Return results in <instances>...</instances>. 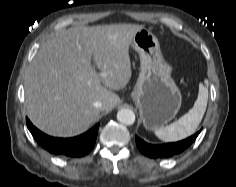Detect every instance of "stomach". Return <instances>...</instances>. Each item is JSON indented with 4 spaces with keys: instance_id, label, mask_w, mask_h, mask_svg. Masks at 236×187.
<instances>
[{
    "instance_id": "obj_1",
    "label": "stomach",
    "mask_w": 236,
    "mask_h": 187,
    "mask_svg": "<svg viewBox=\"0 0 236 187\" xmlns=\"http://www.w3.org/2000/svg\"><path fill=\"white\" fill-rule=\"evenodd\" d=\"M131 46L140 57V73L131 99L139 108L147 130L164 127L178 113L182 95L171 77V66L164 60L157 37L148 29L138 31Z\"/></svg>"
}]
</instances>
